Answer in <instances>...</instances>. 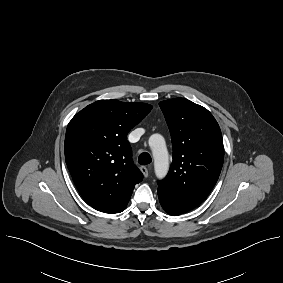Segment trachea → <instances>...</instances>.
Segmentation results:
<instances>
[{"label":"trachea","instance_id":"obj_1","mask_svg":"<svg viewBox=\"0 0 283 283\" xmlns=\"http://www.w3.org/2000/svg\"><path fill=\"white\" fill-rule=\"evenodd\" d=\"M152 161L150 155L147 152H143L138 157V162L141 165H147Z\"/></svg>","mask_w":283,"mask_h":283}]
</instances>
